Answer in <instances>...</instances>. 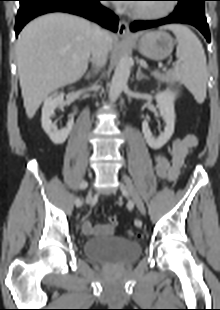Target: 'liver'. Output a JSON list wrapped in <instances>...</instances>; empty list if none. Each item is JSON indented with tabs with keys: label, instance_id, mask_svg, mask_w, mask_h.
<instances>
[{
	"label": "liver",
	"instance_id": "obj_1",
	"mask_svg": "<svg viewBox=\"0 0 220 310\" xmlns=\"http://www.w3.org/2000/svg\"><path fill=\"white\" fill-rule=\"evenodd\" d=\"M91 39L92 24L65 13L38 17L24 27L16 42V59L29 119L52 91L81 79L88 66ZM113 45L114 37L107 33L108 50Z\"/></svg>",
	"mask_w": 220,
	"mask_h": 310
}]
</instances>
